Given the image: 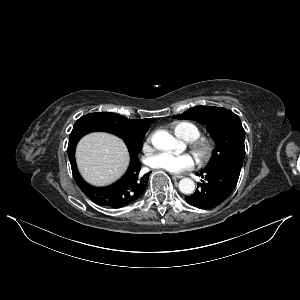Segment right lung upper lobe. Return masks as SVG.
<instances>
[{"label": "right lung upper lobe", "instance_id": "right-lung-upper-lobe-1", "mask_svg": "<svg viewBox=\"0 0 300 300\" xmlns=\"http://www.w3.org/2000/svg\"><path fill=\"white\" fill-rule=\"evenodd\" d=\"M106 113L108 118L116 120L119 130L126 136L145 135L149 129L150 123L153 121V118L130 120L115 113Z\"/></svg>", "mask_w": 300, "mask_h": 300}]
</instances>
